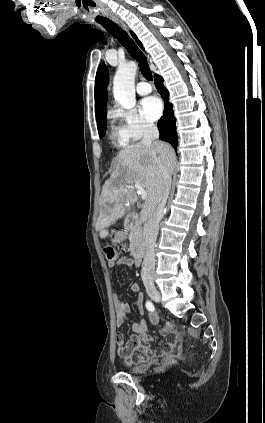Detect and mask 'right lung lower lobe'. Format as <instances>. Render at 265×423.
Here are the masks:
<instances>
[{"label": "right lung lower lobe", "mask_w": 265, "mask_h": 423, "mask_svg": "<svg viewBox=\"0 0 265 423\" xmlns=\"http://www.w3.org/2000/svg\"><path fill=\"white\" fill-rule=\"evenodd\" d=\"M154 81L158 92L165 100L164 113L161 119L158 121V129L160 132L159 138L170 143L174 148H176L178 144L175 126L176 119L173 115L172 104L169 103V92L164 87L163 78L161 76L155 75Z\"/></svg>", "instance_id": "98d812e1"}]
</instances>
